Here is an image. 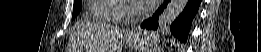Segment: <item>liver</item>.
I'll list each match as a JSON object with an SVG mask.
<instances>
[{
  "label": "liver",
  "mask_w": 261,
  "mask_h": 52,
  "mask_svg": "<svg viewBox=\"0 0 261 52\" xmlns=\"http://www.w3.org/2000/svg\"><path fill=\"white\" fill-rule=\"evenodd\" d=\"M89 30L91 35L95 37V41L93 46L90 47V50H107L109 44L119 43L122 41L124 35V30L105 23H93L89 26Z\"/></svg>",
  "instance_id": "1"
}]
</instances>
